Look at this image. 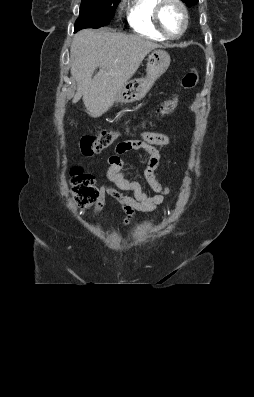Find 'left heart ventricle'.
I'll return each mask as SVG.
<instances>
[{"mask_svg": "<svg viewBox=\"0 0 254 397\" xmlns=\"http://www.w3.org/2000/svg\"><path fill=\"white\" fill-rule=\"evenodd\" d=\"M161 22L169 34H178L183 25V16L180 8L173 3L166 4L161 13Z\"/></svg>", "mask_w": 254, "mask_h": 397, "instance_id": "1", "label": "left heart ventricle"}]
</instances>
